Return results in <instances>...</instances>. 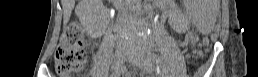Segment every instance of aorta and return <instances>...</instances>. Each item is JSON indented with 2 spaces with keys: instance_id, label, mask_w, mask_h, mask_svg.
<instances>
[{
  "instance_id": "obj_1",
  "label": "aorta",
  "mask_w": 258,
  "mask_h": 77,
  "mask_svg": "<svg viewBox=\"0 0 258 77\" xmlns=\"http://www.w3.org/2000/svg\"><path fill=\"white\" fill-rule=\"evenodd\" d=\"M133 7L135 10H138L140 8V0H132Z\"/></svg>"
}]
</instances>
